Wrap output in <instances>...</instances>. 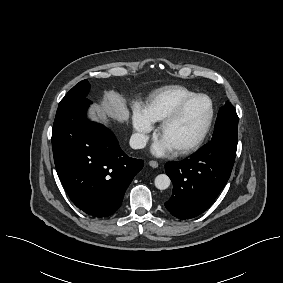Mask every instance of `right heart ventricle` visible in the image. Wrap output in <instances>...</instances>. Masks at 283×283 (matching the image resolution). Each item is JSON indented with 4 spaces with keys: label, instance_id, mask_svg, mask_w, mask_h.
Returning a JSON list of instances; mask_svg holds the SVG:
<instances>
[{
    "label": "right heart ventricle",
    "instance_id": "right-heart-ventricle-1",
    "mask_svg": "<svg viewBox=\"0 0 283 283\" xmlns=\"http://www.w3.org/2000/svg\"><path fill=\"white\" fill-rule=\"evenodd\" d=\"M194 94H196L194 91L181 85L165 86L151 94L144 106L143 113L152 122L162 121L183 100Z\"/></svg>",
    "mask_w": 283,
    "mask_h": 283
}]
</instances>
